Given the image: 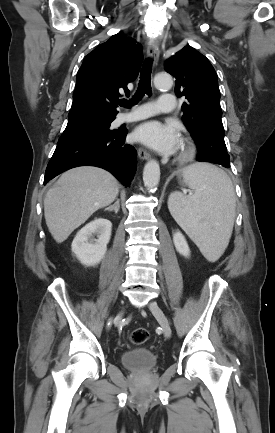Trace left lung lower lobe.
<instances>
[{"label":"left lung lower lobe","mask_w":275,"mask_h":433,"mask_svg":"<svg viewBox=\"0 0 275 433\" xmlns=\"http://www.w3.org/2000/svg\"><path fill=\"white\" fill-rule=\"evenodd\" d=\"M222 166H224V167H226V168H229V167H230V164H224V165H222Z\"/></svg>","instance_id":"left-lung-lower-lobe-1"}]
</instances>
